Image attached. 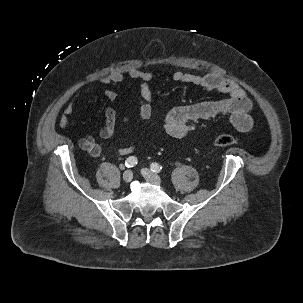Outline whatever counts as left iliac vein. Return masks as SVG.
<instances>
[{"mask_svg": "<svg viewBox=\"0 0 303 303\" xmlns=\"http://www.w3.org/2000/svg\"><path fill=\"white\" fill-rule=\"evenodd\" d=\"M142 174L148 182L154 185H161L162 183L161 178L157 174L153 173L150 169L147 168L142 169Z\"/></svg>", "mask_w": 303, "mask_h": 303, "instance_id": "left-iliac-vein-1", "label": "left iliac vein"}]
</instances>
